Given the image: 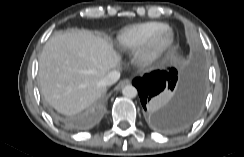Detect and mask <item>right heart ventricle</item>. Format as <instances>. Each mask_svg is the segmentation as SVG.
I'll return each mask as SVG.
<instances>
[{
  "instance_id": "1",
  "label": "right heart ventricle",
  "mask_w": 244,
  "mask_h": 157,
  "mask_svg": "<svg viewBox=\"0 0 244 157\" xmlns=\"http://www.w3.org/2000/svg\"><path fill=\"white\" fill-rule=\"evenodd\" d=\"M160 22L136 24L124 28L117 35V44L122 49H132L148 41L158 30L164 28Z\"/></svg>"
}]
</instances>
